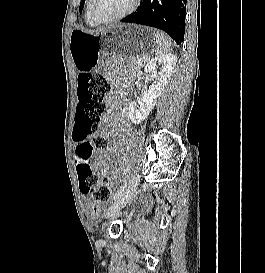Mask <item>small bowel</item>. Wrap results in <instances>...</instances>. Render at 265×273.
Masks as SVG:
<instances>
[{
	"label": "small bowel",
	"instance_id": "obj_1",
	"mask_svg": "<svg viewBox=\"0 0 265 273\" xmlns=\"http://www.w3.org/2000/svg\"><path fill=\"white\" fill-rule=\"evenodd\" d=\"M107 102L109 106L111 107L109 114L105 117V134L109 137L114 135L115 129L117 127L118 121L121 117V113L118 112V102L115 97L109 96L107 98ZM128 125V123H126ZM79 142H75V148L73 152V159L74 164H77V157H76V147L79 145ZM114 152V147L111 146L107 149H105L94 161L93 165L98 168L102 174L106 177H110V165H109V158ZM84 164H91V159H84ZM101 212V207L99 205L95 207H90L88 214L91 217H97Z\"/></svg>",
	"mask_w": 265,
	"mask_h": 273
}]
</instances>
